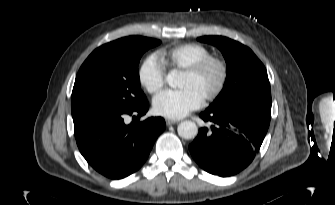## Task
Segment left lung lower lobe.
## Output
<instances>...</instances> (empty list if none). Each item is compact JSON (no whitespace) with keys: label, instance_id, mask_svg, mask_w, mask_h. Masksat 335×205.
<instances>
[{"label":"left lung lower lobe","instance_id":"left-lung-lower-lobe-1","mask_svg":"<svg viewBox=\"0 0 335 205\" xmlns=\"http://www.w3.org/2000/svg\"><path fill=\"white\" fill-rule=\"evenodd\" d=\"M211 127L201 128L189 150L200 167L221 177L246 168L259 151L270 115L251 108L206 109L200 114Z\"/></svg>","mask_w":335,"mask_h":205}]
</instances>
